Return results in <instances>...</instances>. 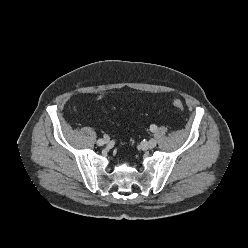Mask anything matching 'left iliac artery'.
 Here are the masks:
<instances>
[{"instance_id": "obj_1", "label": "left iliac artery", "mask_w": 248, "mask_h": 248, "mask_svg": "<svg viewBox=\"0 0 248 248\" xmlns=\"http://www.w3.org/2000/svg\"><path fill=\"white\" fill-rule=\"evenodd\" d=\"M150 130H151V132H156L157 126L154 125V124H152V125L150 126Z\"/></svg>"}]
</instances>
